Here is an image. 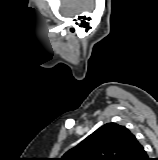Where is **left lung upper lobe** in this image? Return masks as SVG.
<instances>
[{"mask_svg":"<svg viewBox=\"0 0 158 160\" xmlns=\"http://www.w3.org/2000/svg\"><path fill=\"white\" fill-rule=\"evenodd\" d=\"M135 141L136 137L125 126L107 123L60 160H127Z\"/></svg>","mask_w":158,"mask_h":160,"instance_id":"1","label":"left lung upper lobe"}]
</instances>
